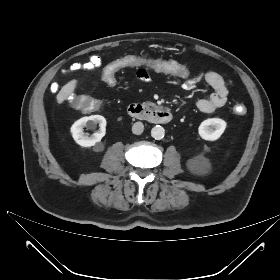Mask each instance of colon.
Segmentation results:
<instances>
[{
	"mask_svg": "<svg viewBox=\"0 0 280 280\" xmlns=\"http://www.w3.org/2000/svg\"><path fill=\"white\" fill-rule=\"evenodd\" d=\"M129 67L152 69L164 77L181 82H186L194 75V70L184 65L181 60L174 61L163 57H142L140 55L127 54L124 58H116L109 65H106L103 68L102 77L107 84L111 85L114 83L113 80L116 78L117 72H124ZM79 69L78 65L72 66L70 71H77ZM78 93V87L73 84L57 86L54 91L55 97L62 100L63 104L71 110L77 112L85 111L88 115H94L103 110L104 102L102 99L78 96ZM234 112L237 115H244L246 107L243 104H237L234 107Z\"/></svg>",
	"mask_w": 280,
	"mask_h": 280,
	"instance_id": "1",
	"label": "colon"
}]
</instances>
